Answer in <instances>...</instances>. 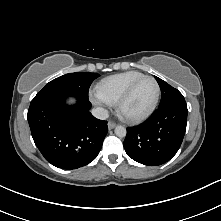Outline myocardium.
Instances as JSON below:
<instances>
[{
  "instance_id": "1",
  "label": "myocardium",
  "mask_w": 221,
  "mask_h": 221,
  "mask_svg": "<svg viewBox=\"0 0 221 221\" xmlns=\"http://www.w3.org/2000/svg\"><path fill=\"white\" fill-rule=\"evenodd\" d=\"M145 79H150L154 82L155 87H156L155 98H154L152 104L150 105V107L145 112L138 114V115H128L124 111V106H125L126 102L129 100V98L131 97V95L134 92L137 85ZM160 92H161V90H160V86H159L158 81L153 76L144 75V76L136 79L134 82H132L129 85V87L125 90V92L121 95V97L117 101L118 113L120 114V116L122 118H124L128 122H131V123L141 122V121L145 120L146 118H148L155 111V109L158 105V102H159Z\"/></svg>"
}]
</instances>
